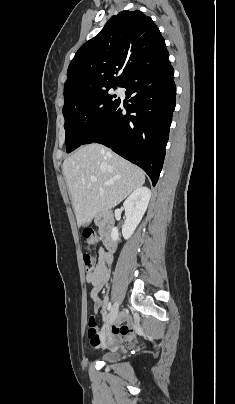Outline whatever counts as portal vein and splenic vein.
I'll list each match as a JSON object with an SVG mask.
<instances>
[{"label": "portal vein and splenic vein", "mask_w": 235, "mask_h": 404, "mask_svg": "<svg viewBox=\"0 0 235 404\" xmlns=\"http://www.w3.org/2000/svg\"><path fill=\"white\" fill-rule=\"evenodd\" d=\"M91 181L92 182H95L96 181V178L95 177H91ZM106 185H110V184H113L112 182H107V183H105Z\"/></svg>", "instance_id": "obj_1"}]
</instances>
